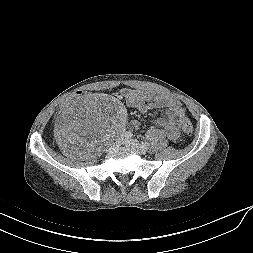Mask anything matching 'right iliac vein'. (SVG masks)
Returning <instances> with one entry per match:
<instances>
[{"mask_svg":"<svg viewBox=\"0 0 253 253\" xmlns=\"http://www.w3.org/2000/svg\"><path fill=\"white\" fill-rule=\"evenodd\" d=\"M124 136H120L116 139V141L113 143V147H117L121 145L124 142Z\"/></svg>","mask_w":253,"mask_h":253,"instance_id":"63e3f726","label":"right iliac vein"}]
</instances>
